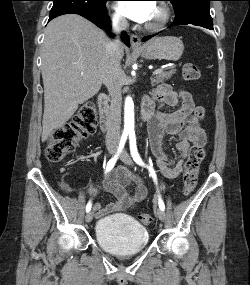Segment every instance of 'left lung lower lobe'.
I'll use <instances>...</instances> for the list:
<instances>
[{
    "label": "left lung lower lobe",
    "mask_w": 250,
    "mask_h": 285,
    "mask_svg": "<svg viewBox=\"0 0 250 285\" xmlns=\"http://www.w3.org/2000/svg\"><path fill=\"white\" fill-rule=\"evenodd\" d=\"M188 24L202 26L204 28L213 30L212 22L211 21H206V20H194V21H189V22H185V23H175V22H173L172 25H170V27L177 26V25H188ZM155 35L146 36V37H144L142 39V41L145 42V41H147L148 39L152 38Z\"/></svg>",
    "instance_id": "0a47b994"
}]
</instances>
